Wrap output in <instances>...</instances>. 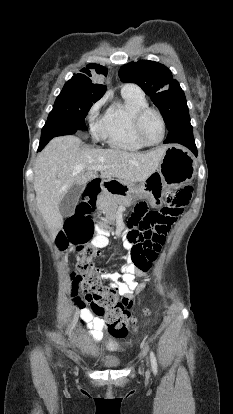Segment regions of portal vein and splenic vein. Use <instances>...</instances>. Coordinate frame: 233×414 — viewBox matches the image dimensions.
Returning a JSON list of instances; mask_svg holds the SVG:
<instances>
[{
    "instance_id": "1",
    "label": "portal vein and splenic vein",
    "mask_w": 233,
    "mask_h": 414,
    "mask_svg": "<svg viewBox=\"0 0 233 414\" xmlns=\"http://www.w3.org/2000/svg\"><path fill=\"white\" fill-rule=\"evenodd\" d=\"M94 169L97 170V171H102L103 170V167H96Z\"/></svg>"
}]
</instances>
